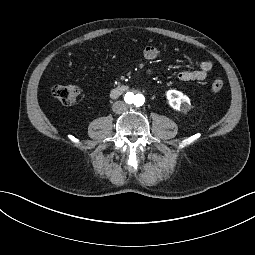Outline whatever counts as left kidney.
<instances>
[{
  "label": "left kidney",
  "mask_w": 255,
  "mask_h": 255,
  "mask_svg": "<svg viewBox=\"0 0 255 255\" xmlns=\"http://www.w3.org/2000/svg\"><path fill=\"white\" fill-rule=\"evenodd\" d=\"M170 106L176 110H187L189 108V99L177 90H169L166 93Z\"/></svg>",
  "instance_id": "left-kidney-1"
}]
</instances>
